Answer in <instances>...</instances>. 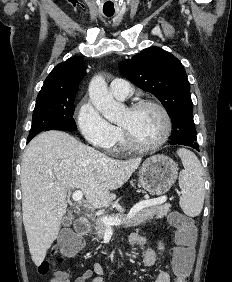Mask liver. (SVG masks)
<instances>
[{"label":"liver","instance_id":"1","mask_svg":"<svg viewBox=\"0 0 232 282\" xmlns=\"http://www.w3.org/2000/svg\"><path fill=\"white\" fill-rule=\"evenodd\" d=\"M141 163L117 160L72 135L50 130L26 147L21 165L23 224L31 258L40 265L57 238L67 210V192L77 188L94 208L109 204Z\"/></svg>","mask_w":232,"mask_h":282}]
</instances>
